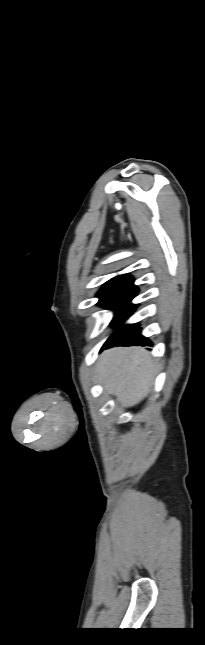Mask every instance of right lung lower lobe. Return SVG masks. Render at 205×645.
<instances>
[{"label":"right lung lower lobe","instance_id":"obj_1","mask_svg":"<svg viewBox=\"0 0 205 645\" xmlns=\"http://www.w3.org/2000/svg\"><path fill=\"white\" fill-rule=\"evenodd\" d=\"M138 324L127 325L116 332L103 346V349L113 346L152 345L148 338L140 334Z\"/></svg>","mask_w":205,"mask_h":645}]
</instances>
